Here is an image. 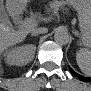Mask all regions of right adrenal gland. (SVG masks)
<instances>
[{
	"instance_id": "obj_1",
	"label": "right adrenal gland",
	"mask_w": 91,
	"mask_h": 91,
	"mask_svg": "<svg viewBox=\"0 0 91 91\" xmlns=\"http://www.w3.org/2000/svg\"><path fill=\"white\" fill-rule=\"evenodd\" d=\"M31 36H37V35L31 34Z\"/></svg>"
}]
</instances>
